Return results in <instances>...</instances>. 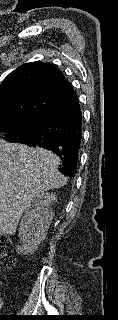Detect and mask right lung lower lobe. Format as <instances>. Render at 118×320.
I'll return each instance as SVG.
<instances>
[{
    "label": "right lung lower lobe",
    "instance_id": "obj_1",
    "mask_svg": "<svg viewBox=\"0 0 118 320\" xmlns=\"http://www.w3.org/2000/svg\"><path fill=\"white\" fill-rule=\"evenodd\" d=\"M81 114L78 98L75 96L58 106L40 130L17 142L51 150L63 161L60 171L73 177L81 143Z\"/></svg>",
    "mask_w": 118,
    "mask_h": 320
}]
</instances>
